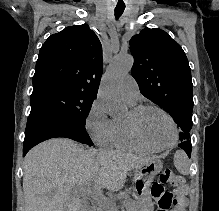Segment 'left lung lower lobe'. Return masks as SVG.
<instances>
[{"instance_id": "left-lung-lower-lobe-1", "label": "left lung lower lobe", "mask_w": 219, "mask_h": 211, "mask_svg": "<svg viewBox=\"0 0 219 211\" xmlns=\"http://www.w3.org/2000/svg\"><path fill=\"white\" fill-rule=\"evenodd\" d=\"M179 147H181V148L187 153V155H188L189 157L191 156V148H192V145H191V141H190V140L182 141V142L179 144Z\"/></svg>"}]
</instances>
